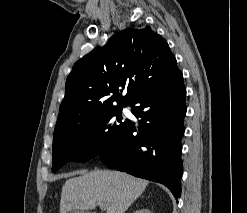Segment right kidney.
<instances>
[{
  "instance_id": "ca27d5eb",
  "label": "right kidney",
  "mask_w": 247,
  "mask_h": 213,
  "mask_svg": "<svg viewBox=\"0 0 247 213\" xmlns=\"http://www.w3.org/2000/svg\"><path fill=\"white\" fill-rule=\"evenodd\" d=\"M133 213H151V212L148 209H146V208H141L139 210H136Z\"/></svg>"
}]
</instances>
